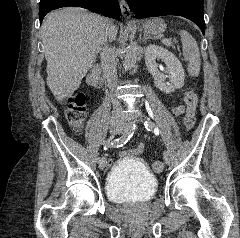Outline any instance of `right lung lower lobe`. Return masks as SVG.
I'll use <instances>...</instances> for the list:
<instances>
[{
    "mask_svg": "<svg viewBox=\"0 0 240 238\" xmlns=\"http://www.w3.org/2000/svg\"><path fill=\"white\" fill-rule=\"evenodd\" d=\"M78 6L86 8L104 16L119 19L121 14L117 0H49L39 10V20L42 22L44 16L51 10L66 7Z\"/></svg>",
    "mask_w": 240,
    "mask_h": 238,
    "instance_id": "obj_1",
    "label": "right lung lower lobe"
}]
</instances>
